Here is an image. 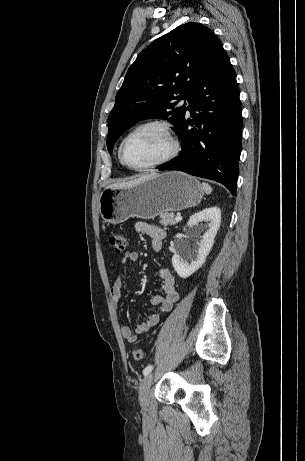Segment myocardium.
<instances>
[{
	"label": "myocardium",
	"mask_w": 305,
	"mask_h": 461,
	"mask_svg": "<svg viewBox=\"0 0 305 461\" xmlns=\"http://www.w3.org/2000/svg\"><path fill=\"white\" fill-rule=\"evenodd\" d=\"M151 127L158 128L166 134L171 144L170 151L163 158L155 162H152L150 164L142 165V166L132 165L131 163L128 162L125 156L126 143L133 135H135L140 130L151 128ZM179 149H180L179 141L171 125L168 122L161 121V120H150V121H146V122H143L137 125L124 137V139L122 140L119 146V156H120L122 163L128 168L137 170V171H146V170L154 169V168H157L159 166H162L168 163L169 161H171L178 155Z\"/></svg>",
	"instance_id": "myocardium-1"
}]
</instances>
